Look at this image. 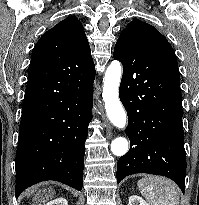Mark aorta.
Wrapping results in <instances>:
<instances>
[{
	"instance_id": "1",
	"label": "aorta",
	"mask_w": 199,
	"mask_h": 205,
	"mask_svg": "<svg viewBox=\"0 0 199 205\" xmlns=\"http://www.w3.org/2000/svg\"><path fill=\"white\" fill-rule=\"evenodd\" d=\"M121 76V63L116 60L112 61L105 72L102 97L109 120L114 126L123 129L126 126L127 116L118 97ZM128 148V141L123 137L115 138L111 143V151L116 156H123Z\"/></svg>"
}]
</instances>
